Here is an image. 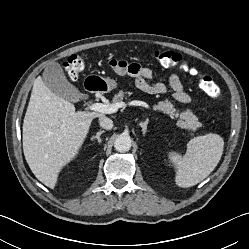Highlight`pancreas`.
Masks as SVG:
<instances>
[{
    "mask_svg": "<svg viewBox=\"0 0 249 249\" xmlns=\"http://www.w3.org/2000/svg\"><path fill=\"white\" fill-rule=\"evenodd\" d=\"M128 92H124L120 90L114 97H113V103H119L123 100L125 94ZM154 109L158 111H162L165 114H168L171 117L178 118V125L179 127L187 130H197L199 127L202 126V124L198 121V118L191 112L190 110H186L180 114L176 111L173 104L169 101H160L156 105H154Z\"/></svg>",
    "mask_w": 249,
    "mask_h": 249,
    "instance_id": "obj_1",
    "label": "pancreas"
}]
</instances>
